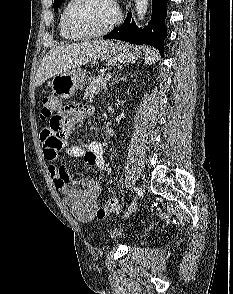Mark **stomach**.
Segmentation results:
<instances>
[{
  "label": "stomach",
  "mask_w": 233,
  "mask_h": 294,
  "mask_svg": "<svg viewBox=\"0 0 233 294\" xmlns=\"http://www.w3.org/2000/svg\"><path fill=\"white\" fill-rule=\"evenodd\" d=\"M141 52L138 48L126 44L115 43L111 48L102 56V60L109 63H134L140 58ZM86 72L81 68H74L57 74L52 78L50 86L54 93L62 98L68 99L72 97L75 92L81 89L85 84Z\"/></svg>",
  "instance_id": "0dacf381"
}]
</instances>
